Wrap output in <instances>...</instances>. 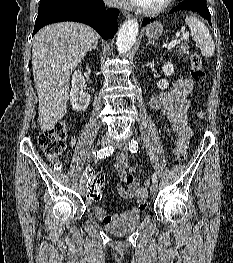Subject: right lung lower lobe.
Returning a JSON list of instances; mask_svg holds the SVG:
<instances>
[{
  "mask_svg": "<svg viewBox=\"0 0 233 263\" xmlns=\"http://www.w3.org/2000/svg\"><path fill=\"white\" fill-rule=\"evenodd\" d=\"M118 9L105 10L103 0H79L73 10H56L37 17L33 35L43 26L60 21H76L94 28L104 39L113 38L118 30Z\"/></svg>",
  "mask_w": 233,
  "mask_h": 263,
  "instance_id": "obj_1",
  "label": "right lung lower lobe"
}]
</instances>
